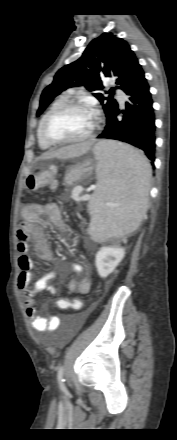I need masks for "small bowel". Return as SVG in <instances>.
I'll use <instances>...</instances> for the list:
<instances>
[{"instance_id": "small-bowel-1", "label": "small bowel", "mask_w": 177, "mask_h": 440, "mask_svg": "<svg viewBox=\"0 0 177 440\" xmlns=\"http://www.w3.org/2000/svg\"><path fill=\"white\" fill-rule=\"evenodd\" d=\"M22 215L26 220V224L22 225L17 231L18 267L20 270L17 285L25 299L26 316L31 327L40 332H52L60 326L61 317L54 315L49 319L42 318L35 306V302L38 292L49 291L56 294L57 290L54 286L50 285V282L57 278L58 272L56 270L49 271L38 279L33 286H30L33 261L29 255V238L32 237L33 239L34 250L37 256L43 260L51 261L53 260V255L43 219H48L65 235L73 236V230L63 221L60 209L54 203L29 204L23 209ZM72 269L76 276L69 282V292L83 295L88 294L91 289V279L88 271L85 277L79 278L77 275L84 271L83 267L74 263ZM58 298L68 297L60 296Z\"/></svg>"}]
</instances>
